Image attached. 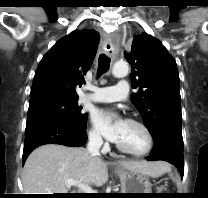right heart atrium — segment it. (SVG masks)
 <instances>
[{
	"label": "right heart atrium",
	"mask_w": 208,
	"mask_h": 198,
	"mask_svg": "<svg viewBox=\"0 0 208 198\" xmlns=\"http://www.w3.org/2000/svg\"><path fill=\"white\" fill-rule=\"evenodd\" d=\"M88 138L91 144L94 146H102L104 144L103 139L99 132L95 129H91L88 133Z\"/></svg>",
	"instance_id": "obj_1"
}]
</instances>
